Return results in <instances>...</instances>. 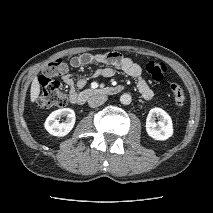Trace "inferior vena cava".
Listing matches in <instances>:
<instances>
[{"instance_id":"602c4592","label":"inferior vena cava","mask_w":213,"mask_h":213,"mask_svg":"<svg viewBox=\"0 0 213 213\" xmlns=\"http://www.w3.org/2000/svg\"><path fill=\"white\" fill-rule=\"evenodd\" d=\"M107 101V95L97 94L89 98L88 104L90 107L95 108Z\"/></svg>"}]
</instances>
